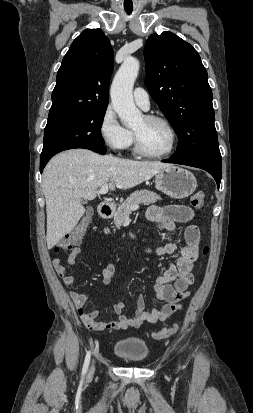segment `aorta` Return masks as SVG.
I'll return each instance as SVG.
<instances>
[{"instance_id": "aorta-1", "label": "aorta", "mask_w": 253, "mask_h": 413, "mask_svg": "<svg viewBox=\"0 0 253 413\" xmlns=\"http://www.w3.org/2000/svg\"><path fill=\"white\" fill-rule=\"evenodd\" d=\"M140 63L133 57L126 58L117 71L110 89L112 106L124 126L131 128L141 122L142 114L133 100V86Z\"/></svg>"}]
</instances>
